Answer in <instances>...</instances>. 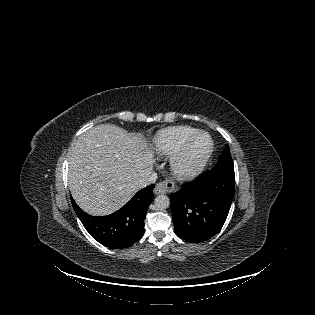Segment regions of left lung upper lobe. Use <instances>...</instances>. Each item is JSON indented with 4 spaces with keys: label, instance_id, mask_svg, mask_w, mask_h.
<instances>
[{
    "label": "left lung upper lobe",
    "instance_id": "5c2ea615",
    "mask_svg": "<svg viewBox=\"0 0 315 315\" xmlns=\"http://www.w3.org/2000/svg\"><path fill=\"white\" fill-rule=\"evenodd\" d=\"M215 172L219 171H234V164L230 154L229 146L226 145L216 166L213 168Z\"/></svg>",
    "mask_w": 315,
    "mask_h": 315
}]
</instances>
